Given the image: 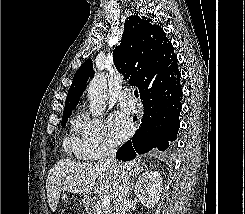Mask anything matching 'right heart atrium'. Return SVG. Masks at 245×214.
Segmentation results:
<instances>
[{
	"label": "right heart atrium",
	"mask_w": 245,
	"mask_h": 214,
	"mask_svg": "<svg viewBox=\"0 0 245 214\" xmlns=\"http://www.w3.org/2000/svg\"><path fill=\"white\" fill-rule=\"evenodd\" d=\"M80 158L95 161L113 152V144L102 121L85 112L78 114L73 123Z\"/></svg>",
	"instance_id": "right-heart-atrium-1"
}]
</instances>
